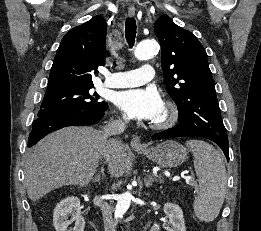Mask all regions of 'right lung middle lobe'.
Masks as SVG:
<instances>
[{
	"instance_id": "1",
	"label": "right lung middle lobe",
	"mask_w": 261,
	"mask_h": 231,
	"mask_svg": "<svg viewBox=\"0 0 261 231\" xmlns=\"http://www.w3.org/2000/svg\"><path fill=\"white\" fill-rule=\"evenodd\" d=\"M93 85L83 87L62 86L47 88L38 118L74 110L102 109L107 103L90 92Z\"/></svg>"
}]
</instances>
